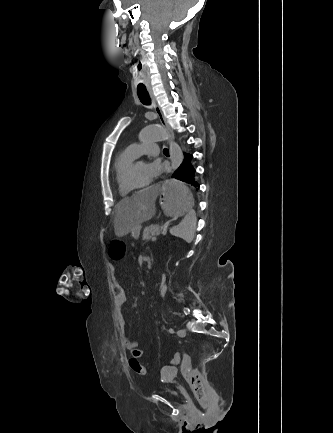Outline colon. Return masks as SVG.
Masks as SVG:
<instances>
[{
	"label": "colon",
	"instance_id": "1",
	"mask_svg": "<svg viewBox=\"0 0 333 433\" xmlns=\"http://www.w3.org/2000/svg\"><path fill=\"white\" fill-rule=\"evenodd\" d=\"M109 248L111 249L109 252L110 257L112 258L111 262L114 265H117L120 262L119 258H122L127 250L124 237L116 236L115 240H110ZM166 280L167 275L161 274L159 282L160 285L157 287L160 293L164 291L163 285H165ZM158 297H161V294H158ZM171 362H176V365L180 366L181 372L189 384V387L197 402L201 405L207 404L210 398V387L205 373L193 365L191 357L185 352L174 353L171 358ZM129 366L138 375L147 374L146 367L141 364L140 361H137L134 358L129 359Z\"/></svg>",
	"mask_w": 333,
	"mask_h": 433
}]
</instances>
